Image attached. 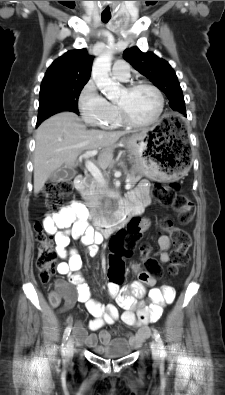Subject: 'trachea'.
Segmentation results:
<instances>
[{"label":"trachea","instance_id":"1","mask_svg":"<svg viewBox=\"0 0 225 395\" xmlns=\"http://www.w3.org/2000/svg\"><path fill=\"white\" fill-rule=\"evenodd\" d=\"M102 21L107 23L111 19V15L102 14Z\"/></svg>","mask_w":225,"mask_h":395}]
</instances>
